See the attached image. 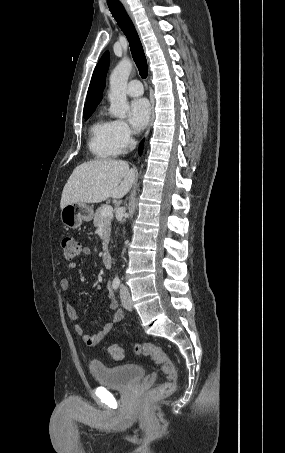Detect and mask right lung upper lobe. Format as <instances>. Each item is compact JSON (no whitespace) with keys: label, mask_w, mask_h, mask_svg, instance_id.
I'll list each match as a JSON object with an SVG mask.
<instances>
[{"label":"right lung upper lobe","mask_w":285,"mask_h":453,"mask_svg":"<svg viewBox=\"0 0 285 453\" xmlns=\"http://www.w3.org/2000/svg\"><path fill=\"white\" fill-rule=\"evenodd\" d=\"M109 66V52H105L92 75V79L89 85L87 99L84 106V112L94 111L99 102L102 99V92L105 87V79Z\"/></svg>","instance_id":"obj_1"}]
</instances>
